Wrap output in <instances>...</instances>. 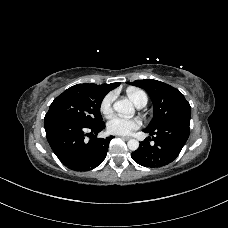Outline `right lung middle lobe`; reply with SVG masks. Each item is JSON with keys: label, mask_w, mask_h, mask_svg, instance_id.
<instances>
[{"label": "right lung middle lobe", "mask_w": 228, "mask_h": 228, "mask_svg": "<svg viewBox=\"0 0 228 228\" xmlns=\"http://www.w3.org/2000/svg\"><path fill=\"white\" fill-rule=\"evenodd\" d=\"M106 94L96 84L74 85L52 102L45 117L64 116L88 126L102 123L100 105Z\"/></svg>", "instance_id": "1"}]
</instances>
